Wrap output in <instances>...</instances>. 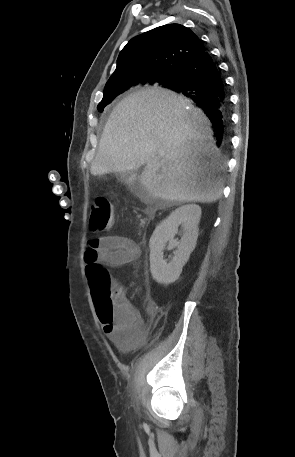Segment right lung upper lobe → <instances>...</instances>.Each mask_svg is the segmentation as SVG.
<instances>
[{"mask_svg": "<svg viewBox=\"0 0 295 457\" xmlns=\"http://www.w3.org/2000/svg\"><path fill=\"white\" fill-rule=\"evenodd\" d=\"M205 50L198 36L183 25L167 24L154 28L132 38L122 49L116 70L105 89L125 83H130L131 87L164 85L167 78L177 76L187 62Z\"/></svg>", "mask_w": 295, "mask_h": 457, "instance_id": "right-lung-upper-lobe-1", "label": "right lung upper lobe"}]
</instances>
